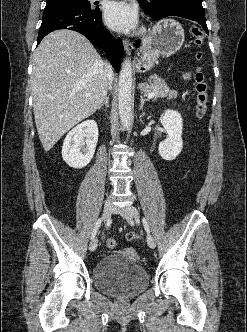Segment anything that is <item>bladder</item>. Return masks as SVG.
<instances>
[{
  "instance_id": "bladder-1",
  "label": "bladder",
  "mask_w": 247,
  "mask_h": 332,
  "mask_svg": "<svg viewBox=\"0 0 247 332\" xmlns=\"http://www.w3.org/2000/svg\"><path fill=\"white\" fill-rule=\"evenodd\" d=\"M95 288L107 295L127 299L149 285L147 271L139 265L132 249L115 250L103 256L92 269Z\"/></svg>"
}]
</instances>
